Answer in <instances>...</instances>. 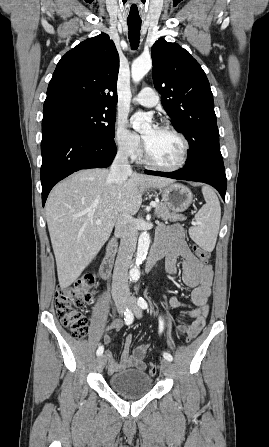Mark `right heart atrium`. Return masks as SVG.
Returning a JSON list of instances; mask_svg holds the SVG:
<instances>
[{
    "instance_id": "d8ad5b80",
    "label": "right heart atrium",
    "mask_w": 269,
    "mask_h": 447,
    "mask_svg": "<svg viewBox=\"0 0 269 447\" xmlns=\"http://www.w3.org/2000/svg\"><path fill=\"white\" fill-rule=\"evenodd\" d=\"M114 140L126 156L138 158L142 154L143 144L140 136L128 129L126 119L122 116L116 119Z\"/></svg>"
}]
</instances>
